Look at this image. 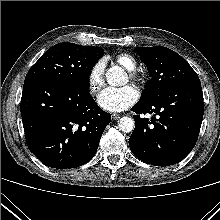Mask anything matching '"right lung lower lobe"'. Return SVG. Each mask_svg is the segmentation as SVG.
Segmentation results:
<instances>
[{
  "label": "right lung lower lobe",
  "instance_id": "1",
  "mask_svg": "<svg viewBox=\"0 0 220 220\" xmlns=\"http://www.w3.org/2000/svg\"><path fill=\"white\" fill-rule=\"evenodd\" d=\"M21 116L30 151L57 169L90 161L111 121L90 95L89 86L53 80L24 83Z\"/></svg>",
  "mask_w": 220,
  "mask_h": 220
}]
</instances>
